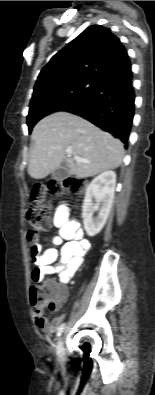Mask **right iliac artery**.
I'll return each instance as SVG.
<instances>
[{"instance_id":"right-iliac-artery-1","label":"right iliac artery","mask_w":155,"mask_h":395,"mask_svg":"<svg viewBox=\"0 0 155 395\" xmlns=\"http://www.w3.org/2000/svg\"><path fill=\"white\" fill-rule=\"evenodd\" d=\"M64 328H65V323L61 324V325L57 328V334H56L57 337H60V336H61V334H62Z\"/></svg>"}]
</instances>
